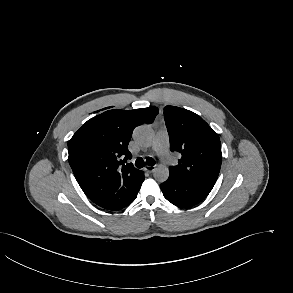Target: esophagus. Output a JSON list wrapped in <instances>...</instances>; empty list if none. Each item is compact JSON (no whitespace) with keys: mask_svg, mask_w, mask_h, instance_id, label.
Wrapping results in <instances>:
<instances>
[{"mask_svg":"<svg viewBox=\"0 0 293 293\" xmlns=\"http://www.w3.org/2000/svg\"><path fill=\"white\" fill-rule=\"evenodd\" d=\"M144 169L147 172L152 173L155 170V166H146Z\"/></svg>","mask_w":293,"mask_h":293,"instance_id":"obj_1","label":"esophagus"}]
</instances>
